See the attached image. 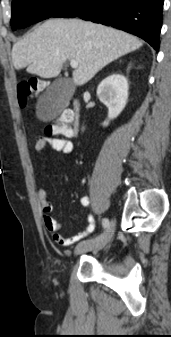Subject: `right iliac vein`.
<instances>
[{
	"label": "right iliac vein",
	"mask_w": 171,
	"mask_h": 337,
	"mask_svg": "<svg viewBox=\"0 0 171 337\" xmlns=\"http://www.w3.org/2000/svg\"><path fill=\"white\" fill-rule=\"evenodd\" d=\"M113 232L114 223H112L100 236L79 243L76 246L74 253L79 255L87 251H98L102 249L112 238Z\"/></svg>",
	"instance_id": "63e3f726"
}]
</instances>
